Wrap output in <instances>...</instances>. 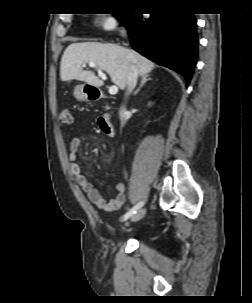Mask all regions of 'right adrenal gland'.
Wrapping results in <instances>:
<instances>
[{
    "label": "right adrenal gland",
    "instance_id": "2a0ac1e0",
    "mask_svg": "<svg viewBox=\"0 0 252 303\" xmlns=\"http://www.w3.org/2000/svg\"><path fill=\"white\" fill-rule=\"evenodd\" d=\"M151 80V78L149 77V75H143L141 78V84L138 87V89L133 93V95H136L140 89L146 84L147 81Z\"/></svg>",
    "mask_w": 252,
    "mask_h": 303
}]
</instances>
